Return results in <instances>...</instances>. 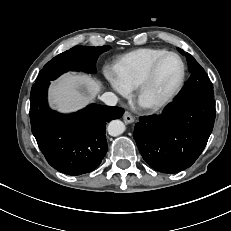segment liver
Returning <instances> with one entry per match:
<instances>
[{"label":"liver","mask_w":231,"mask_h":231,"mask_svg":"<svg viewBox=\"0 0 231 231\" xmlns=\"http://www.w3.org/2000/svg\"><path fill=\"white\" fill-rule=\"evenodd\" d=\"M100 89L101 83L88 75L67 73L50 87V104L61 113L74 112L93 100Z\"/></svg>","instance_id":"obj_1"}]
</instances>
